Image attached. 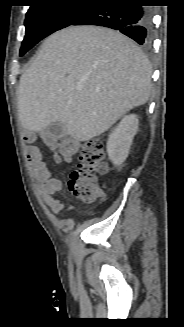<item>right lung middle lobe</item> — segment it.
Returning <instances> with one entry per match:
<instances>
[{
	"mask_svg": "<svg viewBox=\"0 0 184 327\" xmlns=\"http://www.w3.org/2000/svg\"><path fill=\"white\" fill-rule=\"evenodd\" d=\"M94 1L50 0L30 7L25 18L26 33L20 49V56L46 36L72 25L91 7Z\"/></svg>",
	"mask_w": 184,
	"mask_h": 327,
	"instance_id": "obj_1",
	"label": "right lung middle lobe"
}]
</instances>
